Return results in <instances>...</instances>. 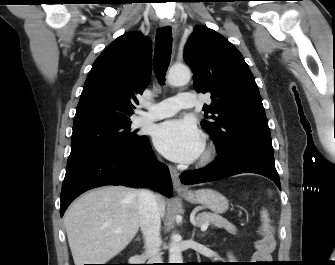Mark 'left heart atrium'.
Masks as SVG:
<instances>
[{
	"instance_id": "left-heart-atrium-1",
	"label": "left heart atrium",
	"mask_w": 335,
	"mask_h": 265,
	"mask_svg": "<svg viewBox=\"0 0 335 265\" xmlns=\"http://www.w3.org/2000/svg\"><path fill=\"white\" fill-rule=\"evenodd\" d=\"M153 142L165 157L176 162H191L204 148L200 130L186 119H172L157 125Z\"/></svg>"
}]
</instances>
